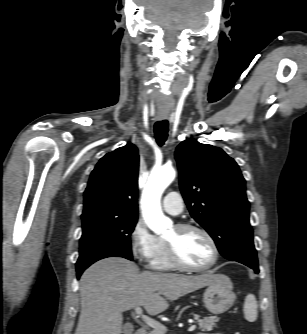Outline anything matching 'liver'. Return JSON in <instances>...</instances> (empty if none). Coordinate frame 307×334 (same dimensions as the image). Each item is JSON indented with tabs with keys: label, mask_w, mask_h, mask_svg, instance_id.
Returning a JSON list of instances; mask_svg holds the SVG:
<instances>
[{
	"label": "liver",
	"mask_w": 307,
	"mask_h": 334,
	"mask_svg": "<svg viewBox=\"0 0 307 334\" xmlns=\"http://www.w3.org/2000/svg\"><path fill=\"white\" fill-rule=\"evenodd\" d=\"M214 282L213 271L196 276L140 272L124 258L100 260L81 276V311L75 334H121L124 311L142 306L154 316L164 312L169 301Z\"/></svg>",
	"instance_id": "obj_1"
}]
</instances>
